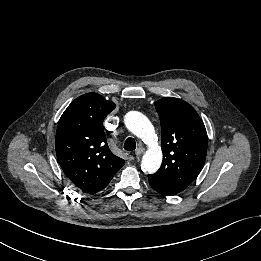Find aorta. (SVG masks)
I'll return each mask as SVG.
<instances>
[{
    "label": "aorta",
    "instance_id": "aorta-1",
    "mask_svg": "<svg viewBox=\"0 0 261 261\" xmlns=\"http://www.w3.org/2000/svg\"><path fill=\"white\" fill-rule=\"evenodd\" d=\"M125 125L149 146L142 158L141 169L149 174L155 173L161 166L163 155L161 147L157 144L153 125L145 115L137 111L127 113Z\"/></svg>",
    "mask_w": 261,
    "mask_h": 261
}]
</instances>
